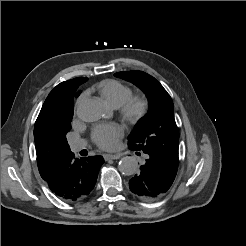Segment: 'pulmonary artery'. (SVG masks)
Returning a JSON list of instances; mask_svg holds the SVG:
<instances>
[{
	"label": "pulmonary artery",
	"mask_w": 246,
	"mask_h": 246,
	"mask_svg": "<svg viewBox=\"0 0 246 246\" xmlns=\"http://www.w3.org/2000/svg\"><path fill=\"white\" fill-rule=\"evenodd\" d=\"M70 146L73 152H78L85 148L86 142L84 140H74L71 142Z\"/></svg>",
	"instance_id": "pulmonary-artery-1"
}]
</instances>
